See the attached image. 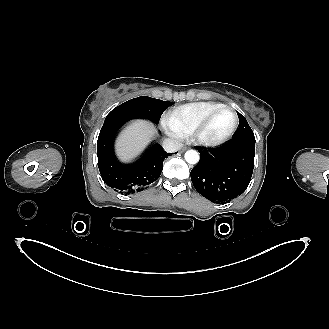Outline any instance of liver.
I'll return each mask as SVG.
<instances>
[{
	"instance_id": "obj_1",
	"label": "liver",
	"mask_w": 329,
	"mask_h": 329,
	"mask_svg": "<svg viewBox=\"0 0 329 329\" xmlns=\"http://www.w3.org/2000/svg\"><path fill=\"white\" fill-rule=\"evenodd\" d=\"M152 134V127L143 121L129 124L117 139L116 147L119 157L124 161L136 158L146 147Z\"/></svg>"
}]
</instances>
